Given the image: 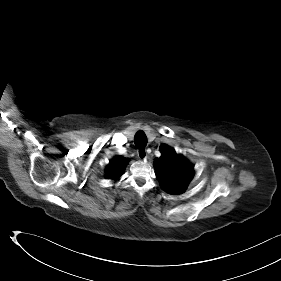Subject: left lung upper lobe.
Masks as SVG:
<instances>
[{
	"label": "left lung upper lobe",
	"mask_w": 281,
	"mask_h": 281,
	"mask_svg": "<svg viewBox=\"0 0 281 281\" xmlns=\"http://www.w3.org/2000/svg\"><path fill=\"white\" fill-rule=\"evenodd\" d=\"M160 151L162 155L154 161V167L162 188L170 194L183 193L193 178V165L165 144Z\"/></svg>",
	"instance_id": "1"
}]
</instances>
